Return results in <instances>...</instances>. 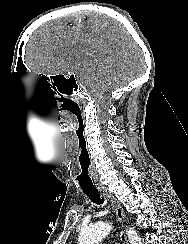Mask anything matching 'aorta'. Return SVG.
Returning <instances> with one entry per match:
<instances>
[{"label": "aorta", "mask_w": 188, "mask_h": 244, "mask_svg": "<svg viewBox=\"0 0 188 244\" xmlns=\"http://www.w3.org/2000/svg\"><path fill=\"white\" fill-rule=\"evenodd\" d=\"M112 229L110 223L101 222L88 227H83L79 233L78 244H99ZM127 236L131 244H141L138 233L133 228L127 229Z\"/></svg>", "instance_id": "762f6f07"}]
</instances>
